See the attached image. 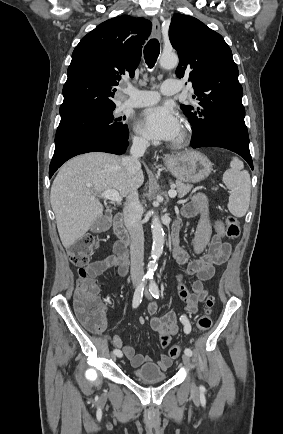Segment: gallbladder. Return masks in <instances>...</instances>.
<instances>
[{
	"label": "gallbladder",
	"mask_w": 283,
	"mask_h": 434,
	"mask_svg": "<svg viewBox=\"0 0 283 434\" xmlns=\"http://www.w3.org/2000/svg\"><path fill=\"white\" fill-rule=\"evenodd\" d=\"M111 226V216H101L94 221L90 227V230L94 233L104 232Z\"/></svg>",
	"instance_id": "1"
}]
</instances>
